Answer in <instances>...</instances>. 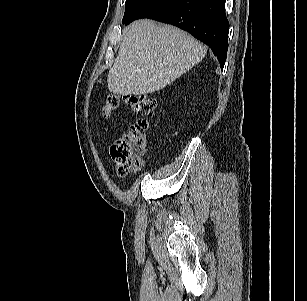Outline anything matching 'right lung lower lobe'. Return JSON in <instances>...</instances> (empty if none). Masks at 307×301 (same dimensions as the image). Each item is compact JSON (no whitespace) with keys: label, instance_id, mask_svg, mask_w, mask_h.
<instances>
[{"label":"right lung lower lobe","instance_id":"right-lung-lower-lobe-1","mask_svg":"<svg viewBox=\"0 0 307 301\" xmlns=\"http://www.w3.org/2000/svg\"><path fill=\"white\" fill-rule=\"evenodd\" d=\"M226 0H163L140 18H151L177 26L211 47L223 68L227 50L229 23Z\"/></svg>","mask_w":307,"mask_h":301}]
</instances>
